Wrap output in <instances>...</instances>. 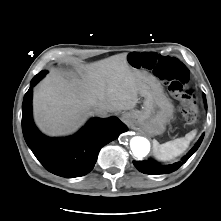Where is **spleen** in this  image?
<instances>
[{"instance_id": "spleen-1", "label": "spleen", "mask_w": 221, "mask_h": 221, "mask_svg": "<svg viewBox=\"0 0 221 221\" xmlns=\"http://www.w3.org/2000/svg\"><path fill=\"white\" fill-rule=\"evenodd\" d=\"M197 131L192 130L184 137L159 144L157 140H153V155L157 160L170 161L181 155L189 146L190 142L195 138Z\"/></svg>"}]
</instances>
